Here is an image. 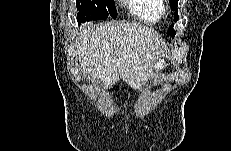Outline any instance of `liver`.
I'll return each instance as SVG.
<instances>
[{
    "instance_id": "liver-1",
    "label": "liver",
    "mask_w": 231,
    "mask_h": 151,
    "mask_svg": "<svg viewBox=\"0 0 231 151\" xmlns=\"http://www.w3.org/2000/svg\"><path fill=\"white\" fill-rule=\"evenodd\" d=\"M76 43L83 72L102 81L104 88L112 87L119 77L131 88H139L164 56L159 35L136 23H86Z\"/></svg>"
}]
</instances>
